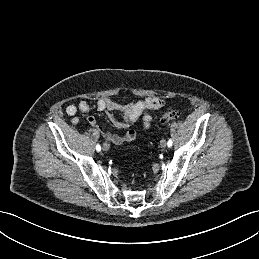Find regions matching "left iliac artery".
<instances>
[{"mask_svg": "<svg viewBox=\"0 0 259 259\" xmlns=\"http://www.w3.org/2000/svg\"><path fill=\"white\" fill-rule=\"evenodd\" d=\"M172 143H173L172 140L169 139L168 142H167L168 147H171V146H172Z\"/></svg>", "mask_w": 259, "mask_h": 259, "instance_id": "obj_1", "label": "left iliac artery"}]
</instances>
